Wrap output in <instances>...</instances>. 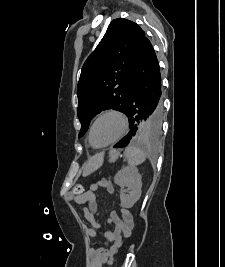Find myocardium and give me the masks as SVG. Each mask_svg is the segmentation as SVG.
Returning a JSON list of instances; mask_svg holds the SVG:
<instances>
[{"instance_id": "f54148a6", "label": "myocardium", "mask_w": 225, "mask_h": 267, "mask_svg": "<svg viewBox=\"0 0 225 267\" xmlns=\"http://www.w3.org/2000/svg\"><path fill=\"white\" fill-rule=\"evenodd\" d=\"M107 115H116L117 117L120 118V120L122 122L121 131L118 134V136L116 138H114L113 140H111L110 142H108L106 144H103V145H100V146H96L92 142V131H93L94 125L96 124V122L100 118H102L104 116H107ZM128 129H129V119H128V116L126 115V113L123 112L120 109H117V108H110V109H107V110L101 112L100 114H98L95 117V119L93 120V122L91 123V125L89 127V131H88V142H89V144H90V146L92 148H94V149H102V148L111 146V145L116 144L117 142H119L126 135Z\"/></svg>"}]
</instances>
